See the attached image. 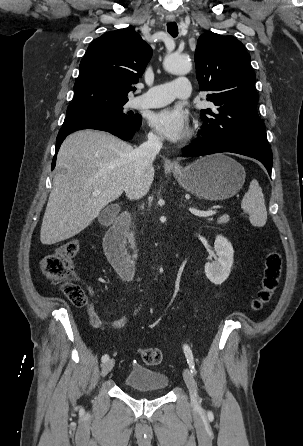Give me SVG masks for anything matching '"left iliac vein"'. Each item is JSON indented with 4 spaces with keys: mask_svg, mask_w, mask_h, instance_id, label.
Segmentation results:
<instances>
[{
    "mask_svg": "<svg viewBox=\"0 0 303 446\" xmlns=\"http://www.w3.org/2000/svg\"><path fill=\"white\" fill-rule=\"evenodd\" d=\"M183 379H184V381L187 385V388L189 390L190 399H191L193 408L199 409L197 386H196L195 380L193 378V375L188 368H184V370H183Z\"/></svg>",
    "mask_w": 303,
    "mask_h": 446,
    "instance_id": "left-iliac-vein-1",
    "label": "left iliac vein"
}]
</instances>
